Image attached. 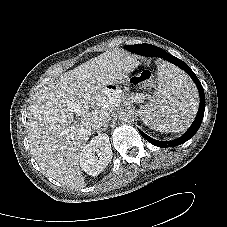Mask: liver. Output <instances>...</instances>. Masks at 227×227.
<instances>
[{
	"instance_id": "6515ba94",
	"label": "liver",
	"mask_w": 227,
	"mask_h": 227,
	"mask_svg": "<svg viewBox=\"0 0 227 227\" xmlns=\"http://www.w3.org/2000/svg\"><path fill=\"white\" fill-rule=\"evenodd\" d=\"M136 65L125 50L107 51L34 95L27 113V138L34 159L48 177L70 189L86 186L79 167L81 152L95 130L96 119L109 116L120 103L108 86L127 80ZM74 105L85 114L76 113Z\"/></svg>"
}]
</instances>
